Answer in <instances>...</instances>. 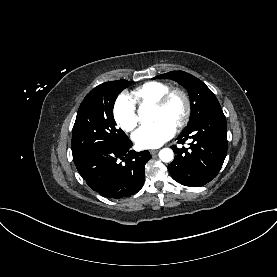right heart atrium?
Instances as JSON below:
<instances>
[{
	"instance_id": "right-heart-atrium-1",
	"label": "right heart atrium",
	"mask_w": 277,
	"mask_h": 277,
	"mask_svg": "<svg viewBox=\"0 0 277 277\" xmlns=\"http://www.w3.org/2000/svg\"><path fill=\"white\" fill-rule=\"evenodd\" d=\"M113 117L124 131H132L138 122L136 106L127 94H120L113 105Z\"/></svg>"
}]
</instances>
